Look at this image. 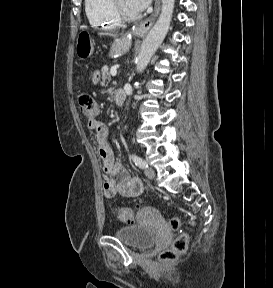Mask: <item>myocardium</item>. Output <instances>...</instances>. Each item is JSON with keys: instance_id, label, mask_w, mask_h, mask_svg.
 <instances>
[{"instance_id": "myocardium-1", "label": "myocardium", "mask_w": 273, "mask_h": 288, "mask_svg": "<svg viewBox=\"0 0 273 288\" xmlns=\"http://www.w3.org/2000/svg\"><path fill=\"white\" fill-rule=\"evenodd\" d=\"M112 2V8L115 13V16L121 21V22H135L140 19L139 14L131 15L128 14L119 4V0H111Z\"/></svg>"}]
</instances>
